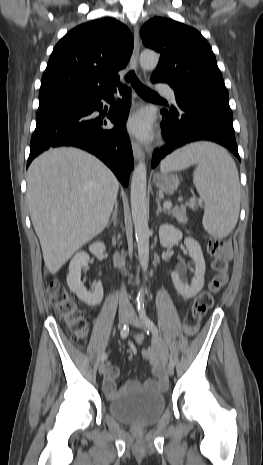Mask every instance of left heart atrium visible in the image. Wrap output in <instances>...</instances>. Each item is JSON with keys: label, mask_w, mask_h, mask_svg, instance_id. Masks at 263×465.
Returning a JSON list of instances; mask_svg holds the SVG:
<instances>
[{"label": "left heart atrium", "mask_w": 263, "mask_h": 465, "mask_svg": "<svg viewBox=\"0 0 263 465\" xmlns=\"http://www.w3.org/2000/svg\"><path fill=\"white\" fill-rule=\"evenodd\" d=\"M127 130L135 137L147 141L152 137V124L144 112L132 115L126 122Z\"/></svg>", "instance_id": "1"}]
</instances>
